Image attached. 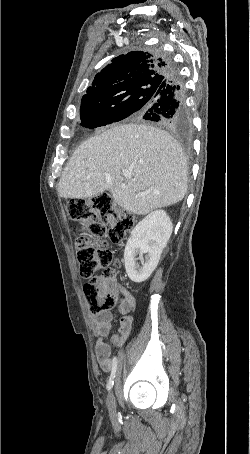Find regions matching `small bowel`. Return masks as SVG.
I'll use <instances>...</instances> for the list:
<instances>
[{
    "label": "small bowel",
    "mask_w": 250,
    "mask_h": 454,
    "mask_svg": "<svg viewBox=\"0 0 250 454\" xmlns=\"http://www.w3.org/2000/svg\"><path fill=\"white\" fill-rule=\"evenodd\" d=\"M120 299L118 301V311L122 314L118 331L111 337L113 345L122 347L131 331L134 318L132 312L135 310V299L125 288H120ZM112 323V313L109 311L97 314L93 319L94 332L97 337L95 345V355L103 371H109L113 365L111 346L107 342Z\"/></svg>",
    "instance_id": "small-bowel-1"
}]
</instances>
